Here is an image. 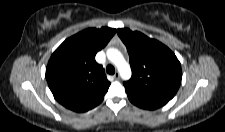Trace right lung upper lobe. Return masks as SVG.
<instances>
[{"instance_id":"right-lung-upper-lobe-1","label":"right lung upper lobe","mask_w":225,"mask_h":132,"mask_svg":"<svg viewBox=\"0 0 225 132\" xmlns=\"http://www.w3.org/2000/svg\"><path fill=\"white\" fill-rule=\"evenodd\" d=\"M115 32L108 27L89 28L66 39L54 51L46 67V80L64 107L84 112L102 102L110 82L95 55Z\"/></svg>"}]
</instances>
